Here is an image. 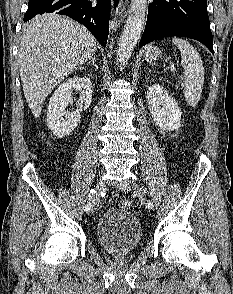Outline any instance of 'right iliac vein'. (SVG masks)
Here are the masks:
<instances>
[{
  "mask_svg": "<svg viewBox=\"0 0 233 294\" xmlns=\"http://www.w3.org/2000/svg\"><path fill=\"white\" fill-rule=\"evenodd\" d=\"M104 186H105V184L102 179H100L96 184V194H95V197L92 202V212H94L96 210V208L99 204L100 193L104 189Z\"/></svg>",
  "mask_w": 233,
  "mask_h": 294,
  "instance_id": "obj_1",
  "label": "right iliac vein"
}]
</instances>
